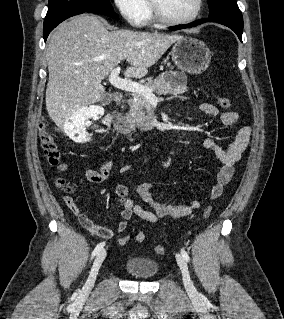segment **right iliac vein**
<instances>
[{"mask_svg":"<svg viewBox=\"0 0 284 319\" xmlns=\"http://www.w3.org/2000/svg\"><path fill=\"white\" fill-rule=\"evenodd\" d=\"M105 258H106V250H101L97 254V256L93 262V265H92L91 270L89 272L88 278H87L86 283L83 287V292L85 294L89 293L91 291V289L93 288L98 271H99L103 261L105 260Z\"/></svg>","mask_w":284,"mask_h":319,"instance_id":"obj_1","label":"right iliac vein"}]
</instances>
